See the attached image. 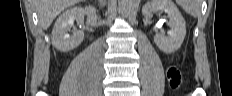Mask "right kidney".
<instances>
[{"mask_svg": "<svg viewBox=\"0 0 232 96\" xmlns=\"http://www.w3.org/2000/svg\"><path fill=\"white\" fill-rule=\"evenodd\" d=\"M87 15V25H92L97 20L96 9L92 6L85 8L74 7L63 12L55 22L52 30V43L59 51H70L76 48L84 39L83 31H74L73 35L67 34L74 20L83 19Z\"/></svg>", "mask_w": 232, "mask_h": 96, "instance_id": "ca27d5eb", "label": "right kidney"}]
</instances>
